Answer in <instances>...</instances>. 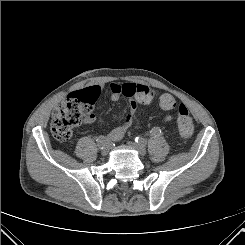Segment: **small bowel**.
<instances>
[{"label": "small bowel", "instance_id": "c3829d8e", "mask_svg": "<svg viewBox=\"0 0 245 245\" xmlns=\"http://www.w3.org/2000/svg\"><path fill=\"white\" fill-rule=\"evenodd\" d=\"M139 87H146L135 83H117L110 84L111 99L117 101L120 97L124 96L129 99V110L123 120V122L116 127L111 133L107 135V138L111 141H118L122 138L125 131L132 124L137 112L138 101L136 99V91ZM158 106L163 111H173L177 107V100L169 95L164 94L158 101ZM97 119V116L90 112L86 115L85 123H93ZM174 119L173 115L166 114L161 119V123H169Z\"/></svg>", "mask_w": 245, "mask_h": 245}]
</instances>
